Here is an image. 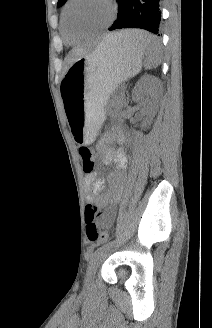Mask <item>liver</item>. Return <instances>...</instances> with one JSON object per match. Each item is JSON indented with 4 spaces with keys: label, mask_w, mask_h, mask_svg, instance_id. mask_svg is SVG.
<instances>
[{
    "label": "liver",
    "mask_w": 212,
    "mask_h": 328,
    "mask_svg": "<svg viewBox=\"0 0 212 328\" xmlns=\"http://www.w3.org/2000/svg\"><path fill=\"white\" fill-rule=\"evenodd\" d=\"M129 31V30H127ZM113 34H108L107 36H110ZM106 36V37H107ZM89 53V50H86L84 48H74L70 51L66 63L68 66H71L74 62H76L79 58L85 56L86 54Z\"/></svg>",
    "instance_id": "6515ba94"
}]
</instances>
